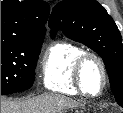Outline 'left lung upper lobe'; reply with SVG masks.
I'll return each mask as SVG.
<instances>
[{"mask_svg":"<svg viewBox=\"0 0 123 113\" xmlns=\"http://www.w3.org/2000/svg\"><path fill=\"white\" fill-rule=\"evenodd\" d=\"M49 27L52 37L60 29L103 59L115 99L123 107L122 38L104 7L96 0H63L53 8Z\"/></svg>","mask_w":123,"mask_h":113,"instance_id":"left-lung-upper-lobe-1","label":"left lung upper lobe"}]
</instances>
